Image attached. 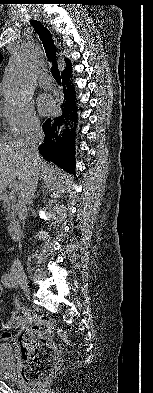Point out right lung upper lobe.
Instances as JSON below:
<instances>
[{
  "instance_id": "cb5924a9",
  "label": "right lung upper lobe",
  "mask_w": 153,
  "mask_h": 393,
  "mask_svg": "<svg viewBox=\"0 0 153 393\" xmlns=\"http://www.w3.org/2000/svg\"><path fill=\"white\" fill-rule=\"evenodd\" d=\"M2 59H3V57H2V55H0V63H1ZM66 63H67V67L64 70L70 69V62H69V60H66Z\"/></svg>"
}]
</instances>
